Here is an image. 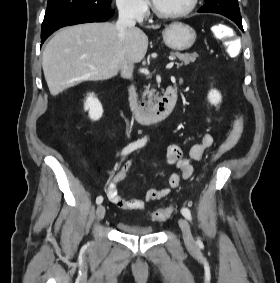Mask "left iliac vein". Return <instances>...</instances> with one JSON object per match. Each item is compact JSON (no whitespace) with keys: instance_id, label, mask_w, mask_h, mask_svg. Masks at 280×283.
Segmentation results:
<instances>
[{"instance_id":"left-iliac-vein-1","label":"left iliac vein","mask_w":280,"mask_h":283,"mask_svg":"<svg viewBox=\"0 0 280 283\" xmlns=\"http://www.w3.org/2000/svg\"><path fill=\"white\" fill-rule=\"evenodd\" d=\"M178 223L181 228L183 239H184L186 246L191 247V248L195 247L196 243L192 236L190 225L187 222V220L184 218H180Z\"/></svg>"}]
</instances>
